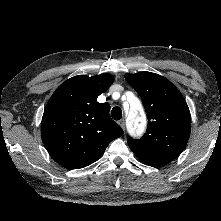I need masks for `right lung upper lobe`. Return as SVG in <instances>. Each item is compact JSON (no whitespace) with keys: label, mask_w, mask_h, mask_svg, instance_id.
<instances>
[{"label":"right lung upper lobe","mask_w":221,"mask_h":221,"mask_svg":"<svg viewBox=\"0 0 221 221\" xmlns=\"http://www.w3.org/2000/svg\"><path fill=\"white\" fill-rule=\"evenodd\" d=\"M114 82L111 74L79 75L62 83L49 99L41 136L50 156L70 169L97 161L108 144L123 134L109 115L110 105L97 97Z\"/></svg>","instance_id":"right-lung-upper-lobe-1"}]
</instances>
